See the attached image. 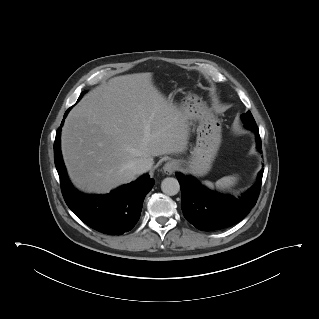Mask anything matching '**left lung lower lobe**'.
<instances>
[{"label":"left lung lower lobe","mask_w":319,"mask_h":319,"mask_svg":"<svg viewBox=\"0 0 319 319\" xmlns=\"http://www.w3.org/2000/svg\"><path fill=\"white\" fill-rule=\"evenodd\" d=\"M256 133L257 148L261 149V139L257 125H245ZM261 169L257 182L247 192L235 198L212 192L191 176L177 173L182 193L181 208L184 217L196 228L214 231L232 226L241 221L256 204L263 176Z\"/></svg>","instance_id":"0a47b994"}]
</instances>
